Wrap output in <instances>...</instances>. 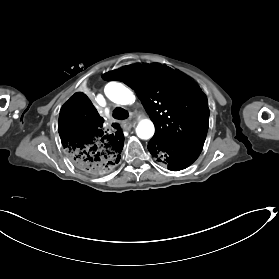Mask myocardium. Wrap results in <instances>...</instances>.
Listing matches in <instances>:
<instances>
[{
    "mask_svg": "<svg viewBox=\"0 0 279 279\" xmlns=\"http://www.w3.org/2000/svg\"><path fill=\"white\" fill-rule=\"evenodd\" d=\"M87 76H88V74H87ZM134 100V98H133V96H131L130 97V101H133ZM106 133V129L105 128H99V134L100 135H103V134H105Z\"/></svg>",
    "mask_w": 279,
    "mask_h": 279,
    "instance_id": "myocardium-1",
    "label": "myocardium"
}]
</instances>
